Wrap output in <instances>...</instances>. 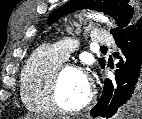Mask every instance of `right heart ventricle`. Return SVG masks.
I'll list each match as a JSON object with an SVG mask.
<instances>
[{
	"instance_id": "obj_1",
	"label": "right heart ventricle",
	"mask_w": 142,
	"mask_h": 119,
	"mask_svg": "<svg viewBox=\"0 0 142 119\" xmlns=\"http://www.w3.org/2000/svg\"><path fill=\"white\" fill-rule=\"evenodd\" d=\"M63 61L51 46H41L31 54L20 78L21 98L27 109L40 114L53 112L48 89L54 73Z\"/></svg>"
}]
</instances>
